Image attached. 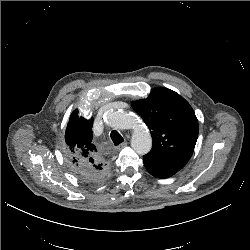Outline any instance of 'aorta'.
Returning <instances> with one entry per match:
<instances>
[{
  "label": "aorta",
  "instance_id": "obj_1",
  "mask_svg": "<svg viewBox=\"0 0 250 250\" xmlns=\"http://www.w3.org/2000/svg\"><path fill=\"white\" fill-rule=\"evenodd\" d=\"M105 122L116 129L133 128L131 147L136 153L144 155L151 150V135L148 129L140 124L139 119L134 114L123 111H109L105 116Z\"/></svg>",
  "mask_w": 250,
  "mask_h": 250
}]
</instances>
